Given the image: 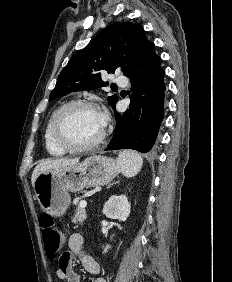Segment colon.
I'll list each match as a JSON object with an SVG mask.
<instances>
[{
	"mask_svg": "<svg viewBox=\"0 0 232 282\" xmlns=\"http://www.w3.org/2000/svg\"><path fill=\"white\" fill-rule=\"evenodd\" d=\"M42 239L45 252L49 259H54L62 245V234L53 218L48 214L40 216Z\"/></svg>",
	"mask_w": 232,
	"mask_h": 282,
	"instance_id": "1",
	"label": "colon"
}]
</instances>
